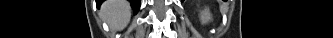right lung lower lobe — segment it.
I'll list each match as a JSON object with an SVG mask.
<instances>
[{
	"instance_id": "obj_1",
	"label": "right lung lower lobe",
	"mask_w": 333,
	"mask_h": 38,
	"mask_svg": "<svg viewBox=\"0 0 333 38\" xmlns=\"http://www.w3.org/2000/svg\"><path fill=\"white\" fill-rule=\"evenodd\" d=\"M131 2V5L133 6L135 11H138L139 7H140V0H129ZM103 1H97V5L100 6V4Z\"/></svg>"
}]
</instances>
